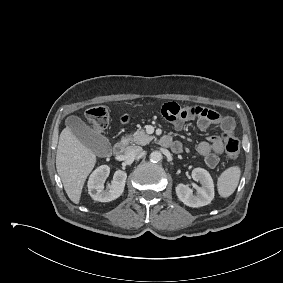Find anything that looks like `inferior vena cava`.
I'll use <instances>...</instances> for the list:
<instances>
[{
    "mask_svg": "<svg viewBox=\"0 0 283 283\" xmlns=\"http://www.w3.org/2000/svg\"><path fill=\"white\" fill-rule=\"evenodd\" d=\"M142 152V147L140 146H128L125 150V154L129 158H135Z\"/></svg>",
    "mask_w": 283,
    "mask_h": 283,
    "instance_id": "inferior-vena-cava-1",
    "label": "inferior vena cava"
}]
</instances>
